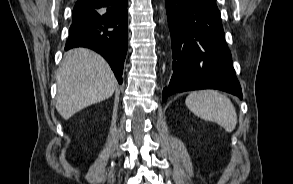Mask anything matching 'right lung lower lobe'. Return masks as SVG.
<instances>
[{
  "label": "right lung lower lobe",
  "mask_w": 293,
  "mask_h": 184,
  "mask_svg": "<svg viewBox=\"0 0 293 184\" xmlns=\"http://www.w3.org/2000/svg\"><path fill=\"white\" fill-rule=\"evenodd\" d=\"M128 0H108L92 6L75 4L66 50L86 47L101 54L121 84L127 53Z\"/></svg>",
  "instance_id": "obj_1"
}]
</instances>
